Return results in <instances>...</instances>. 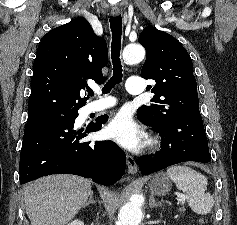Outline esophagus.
<instances>
[{
    "mask_svg": "<svg viewBox=\"0 0 237 225\" xmlns=\"http://www.w3.org/2000/svg\"><path fill=\"white\" fill-rule=\"evenodd\" d=\"M111 14L113 16H118L120 14V11L118 9H113L111 11ZM126 161H127V166H128L129 172L131 174H135L137 172V164H136L135 159L131 155L126 154Z\"/></svg>",
    "mask_w": 237,
    "mask_h": 225,
    "instance_id": "esophagus-1",
    "label": "esophagus"
}]
</instances>
